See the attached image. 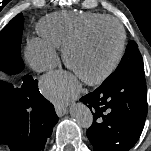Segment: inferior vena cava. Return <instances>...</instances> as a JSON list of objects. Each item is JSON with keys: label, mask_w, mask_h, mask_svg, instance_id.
Instances as JSON below:
<instances>
[{"label": "inferior vena cava", "mask_w": 151, "mask_h": 151, "mask_svg": "<svg viewBox=\"0 0 151 151\" xmlns=\"http://www.w3.org/2000/svg\"><path fill=\"white\" fill-rule=\"evenodd\" d=\"M52 67V63L51 62H45V68H50Z\"/></svg>", "instance_id": "1"}]
</instances>
